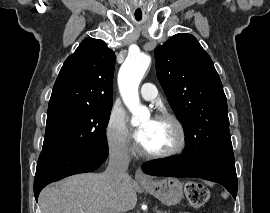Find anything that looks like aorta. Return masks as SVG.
Returning <instances> with one entry per match:
<instances>
[{"label": "aorta", "instance_id": "aorta-1", "mask_svg": "<svg viewBox=\"0 0 270 213\" xmlns=\"http://www.w3.org/2000/svg\"><path fill=\"white\" fill-rule=\"evenodd\" d=\"M150 63L151 57L145 53L130 54L119 70V89L125 105L132 113V125H138L150 117L149 110L140 104L138 93L139 84Z\"/></svg>", "mask_w": 270, "mask_h": 213}]
</instances>
